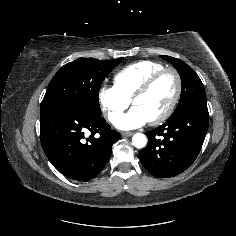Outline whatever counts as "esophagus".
Here are the masks:
<instances>
[{
    "label": "esophagus",
    "mask_w": 236,
    "mask_h": 236,
    "mask_svg": "<svg viewBox=\"0 0 236 236\" xmlns=\"http://www.w3.org/2000/svg\"><path fill=\"white\" fill-rule=\"evenodd\" d=\"M134 133L133 132H122V136H124V137H130V136H132Z\"/></svg>",
    "instance_id": "obj_1"
}]
</instances>
